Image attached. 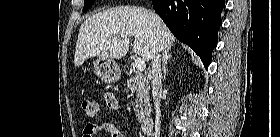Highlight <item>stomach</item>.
Instances as JSON below:
<instances>
[{
  "label": "stomach",
  "instance_id": "0dacf381",
  "mask_svg": "<svg viewBox=\"0 0 280 137\" xmlns=\"http://www.w3.org/2000/svg\"><path fill=\"white\" fill-rule=\"evenodd\" d=\"M96 75L106 83H114L120 77V69L114 60L98 58L94 63Z\"/></svg>",
  "mask_w": 280,
  "mask_h": 137
}]
</instances>
